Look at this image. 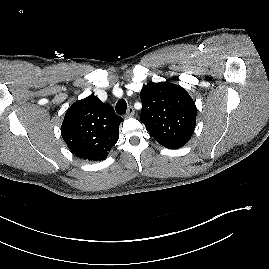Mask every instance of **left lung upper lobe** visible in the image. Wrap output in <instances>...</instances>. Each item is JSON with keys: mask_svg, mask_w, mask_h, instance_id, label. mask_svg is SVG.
<instances>
[{"mask_svg": "<svg viewBox=\"0 0 269 269\" xmlns=\"http://www.w3.org/2000/svg\"><path fill=\"white\" fill-rule=\"evenodd\" d=\"M141 122L162 146H184L194 131L197 110L193 99L182 87L169 83H151L140 93Z\"/></svg>", "mask_w": 269, "mask_h": 269, "instance_id": "obj_1", "label": "left lung upper lobe"}]
</instances>
